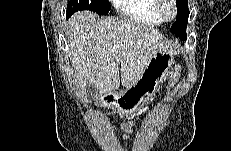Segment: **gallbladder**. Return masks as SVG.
I'll return each instance as SVG.
<instances>
[{
    "instance_id": "obj_1",
    "label": "gallbladder",
    "mask_w": 231,
    "mask_h": 151,
    "mask_svg": "<svg viewBox=\"0 0 231 151\" xmlns=\"http://www.w3.org/2000/svg\"><path fill=\"white\" fill-rule=\"evenodd\" d=\"M99 95L97 89L92 83H88L84 88L85 101H93Z\"/></svg>"
}]
</instances>
